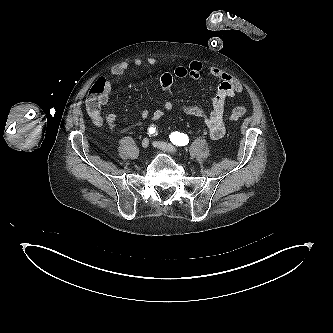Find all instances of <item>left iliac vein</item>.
Returning a JSON list of instances; mask_svg holds the SVG:
<instances>
[{
  "mask_svg": "<svg viewBox=\"0 0 333 333\" xmlns=\"http://www.w3.org/2000/svg\"><path fill=\"white\" fill-rule=\"evenodd\" d=\"M155 145L160 150L167 152L169 154H178V150L169 143L166 142H155Z\"/></svg>",
  "mask_w": 333,
  "mask_h": 333,
  "instance_id": "left-iliac-vein-1",
  "label": "left iliac vein"
}]
</instances>
